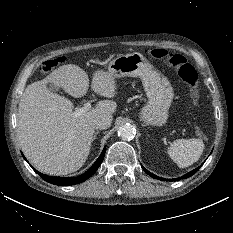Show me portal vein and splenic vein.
I'll use <instances>...</instances> for the list:
<instances>
[{"label": "portal vein and splenic vein", "instance_id": "portal-vein-and-splenic-vein-1", "mask_svg": "<svg viewBox=\"0 0 233 233\" xmlns=\"http://www.w3.org/2000/svg\"><path fill=\"white\" fill-rule=\"evenodd\" d=\"M91 108V103L90 102H86L84 103L83 107L82 108H79L77 110H75L73 112V116L74 117H78V116H81L82 114H84L85 112L89 111Z\"/></svg>", "mask_w": 233, "mask_h": 233}]
</instances>
